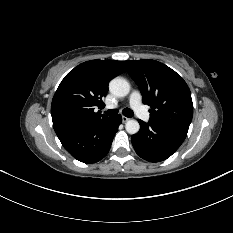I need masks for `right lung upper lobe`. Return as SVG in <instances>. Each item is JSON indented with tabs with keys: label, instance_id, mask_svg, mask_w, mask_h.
Instances as JSON below:
<instances>
[{
	"label": "right lung upper lobe",
	"instance_id": "1",
	"mask_svg": "<svg viewBox=\"0 0 233 233\" xmlns=\"http://www.w3.org/2000/svg\"><path fill=\"white\" fill-rule=\"evenodd\" d=\"M122 71L117 60H91L70 71L61 81L51 104L56 134L107 117L94 109L104 104L102 99L108 92L110 79Z\"/></svg>",
	"mask_w": 233,
	"mask_h": 233
}]
</instances>
